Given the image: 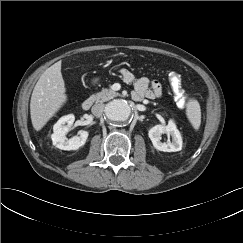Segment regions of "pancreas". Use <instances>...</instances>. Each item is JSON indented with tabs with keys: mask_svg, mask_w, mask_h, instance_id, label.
Listing matches in <instances>:
<instances>
[{
	"mask_svg": "<svg viewBox=\"0 0 243 243\" xmlns=\"http://www.w3.org/2000/svg\"><path fill=\"white\" fill-rule=\"evenodd\" d=\"M117 96H119L118 92H115L112 89L105 88L101 92L91 95L90 100L96 103H102V102L109 101Z\"/></svg>",
	"mask_w": 243,
	"mask_h": 243,
	"instance_id": "cf45deb5",
	"label": "pancreas"
}]
</instances>
